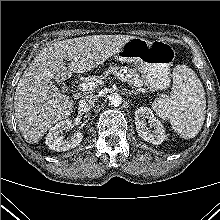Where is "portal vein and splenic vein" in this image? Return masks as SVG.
I'll return each mask as SVG.
<instances>
[{
	"label": "portal vein and splenic vein",
	"instance_id": "18ae733b",
	"mask_svg": "<svg viewBox=\"0 0 220 220\" xmlns=\"http://www.w3.org/2000/svg\"><path fill=\"white\" fill-rule=\"evenodd\" d=\"M115 77L120 79L123 82H128L127 77H125L123 74L116 73ZM97 83L98 81H95V80L86 81V82L79 84L78 88L81 91H90L97 87Z\"/></svg>",
	"mask_w": 220,
	"mask_h": 220
}]
</instances>
